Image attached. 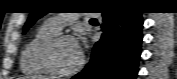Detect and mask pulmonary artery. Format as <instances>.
Instances as JSON below:
<instances>
[{
	"mask_svg": "<svg viewBox=\"0 0 177 79\" xmlns=\"http://www.w3.org/2000/svg\"><path fill=\"white\" fill-rule=\"evenodd\" d=\"M85 14H57L55 17L50 18L46 23L53 29L60 31L64 26L77 21Z\"/></svg>",
	"mask_w": 177,
	"mask_h": 79,
	"instance_id": "pulmonary-artery-1",
	"label": "pulmonary artery"
}]
</instances>
